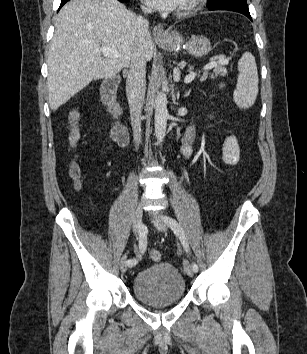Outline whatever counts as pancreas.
Masks as SVG:
<instances>
[{"mask_svg": "<svg viewBox=\"0 0 307 354\" xmlns=\"http://www.w3.org/2000/svg\"><path fill=\"white\" fill-rule=\"evenodd\" d=\"M193 70L192 66H189L188 72H191ZM209 69H205L204 74L201 77V80H206L208 77L210 78H216L217 76H225L227 75V69L223 64H217L213 67L211 72H208Z\"/></svg>", "mask_w": 307, "mask_h": 354, "instance_id": "obj_1", "label": "pancreas"}]
</instances>
